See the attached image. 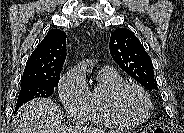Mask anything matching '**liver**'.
<instances>
[{"label": "liver", "instance_id": "1", "mask_svg": "<svg viewBox=\"0 0 184 133\" xmlns=\"http://www.w3.org/2000/svg\"><path fill=\"white\" fill-rule=\"evenodd\" d=\"M12 125L14 133H101L87 127H63L59 122V108L51 100L37 98L23 105Z\"/></svg>", "mask_w": 184, "mask_h": 133}]
</instances>
